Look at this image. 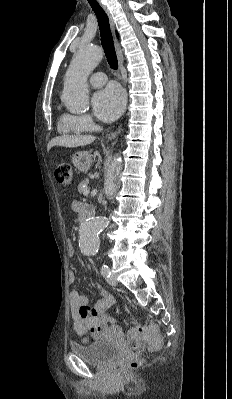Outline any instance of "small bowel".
<instances>
[{
	"label": "small bowel",
	"mask_w": 232,
	"mask_h": 399,
	"mask_svg": "<svg viewBox=\"0 0 232 399\" xmlns=\"http://www.w3.org/2000/svg\"><path fill=\"white\" fill-rule=\"evenodd\" d=\"M72 207H77L75 201L72 203ZM67 245L69 257L74 259L77 254L73 241L68 240ZM75 283L76 276L70 274L69 284L74 285ZM92 289L98 296H101V300L94 306H90L87 297L82 296L77 291L69 292V314L75 330L81 333H90L99 339H104L120 331L118 323L113 322L110 325L105 323L109 310L115 304V298L111 293L103 290L97 283L92 284Z\"/></svg>",
	"instance_id": "small-bowel-1"
}]
</instances>
